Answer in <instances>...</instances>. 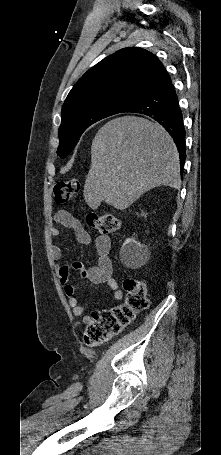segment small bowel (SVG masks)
Masks as SVG:
<instances>
[{
	"label": "small bowel",
	"instance_id": "c3829d8e",
	"mask_svg": "<svg viewBox=\"0 0 221 455\" xmlns=\"http://www.w3.org/2000/svg\"><path fill=\"white\" fill-rule=\"evenodd\" d=\"M55 221L58 225L72 230L81 244H89L91 242L89 233L74 215L61 210L56 215ZM51 234L54 237H59L60 231L54 226L51 228ZM95 247L98 254V260L95 266L85 268L81 262H73L71 264L61 265L58 268L59 282L64 287L68 304L72 308V313L75 316L83 315L86 312V308L81 305L77 298L74 285L69 283V274L71 270L79 271L80 274L92 284H106L113 290L114 300L119 301L123 297V291L119 288L117 280L112 276V261L109 257L111 249L110 239L104 235L96 237ZM51 255L55 260H60L63 257V251L59 246L53 245L51 248Z\"/></svg>",
	"mask_w": 221,
	"mask_h": 455
}]
</instances>
